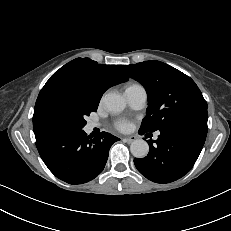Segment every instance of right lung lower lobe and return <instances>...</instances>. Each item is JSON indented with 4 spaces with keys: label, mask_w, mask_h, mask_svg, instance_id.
I'll use <instances>...</instances> for the list:
<instances>
[{
    "label": "right lung lower lobe",
    "mask_w": 231,
    "mask_h": 231,
    "mask_svg": "<svg viewBox=\"0 0 231 231\" xmlns=\"http://www.w3.org/2000/svg\"><path fill=\"white\" fill-rule=\"evenodd\" d=\"M35 137L38 152L48 169L69 184H82L97 177L105 167L110 147L119 140L107 132L92 139L83 130Z\"/></svg>",
    "instance_id": "98d812e1"
}]
</instances>
